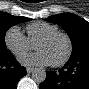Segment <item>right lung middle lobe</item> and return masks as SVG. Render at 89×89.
Here are the masks:
<instances>
[{
	"instance_id": "1",
	"label": "right lung middle lobe",
	"mask_w": 89,
	"mask_h": 89,
	"mask_svg": "<svg viewBox=\"0 0 89 89\" xmlns=\"http://www.w3.org/2000/svg\"><path fill=\"white\" fill-rule=\"evenodd\" d=\"M30 20V18L13 16L5 12H0V54L9 51L8 49H6L4 40L6 31L15 24Z\"/></svg>"
}]
</instances>
